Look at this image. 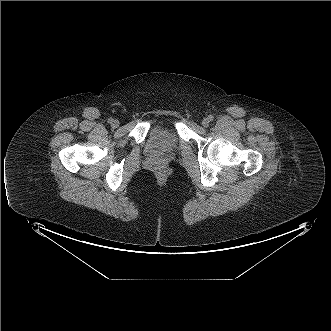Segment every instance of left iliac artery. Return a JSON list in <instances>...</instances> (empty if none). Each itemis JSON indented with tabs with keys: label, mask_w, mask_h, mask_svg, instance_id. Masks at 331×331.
Segmentation results:
<instances>
[{
	"label": "left iliac artery",
	"mask_w": 331,
	"mask_h": 331,
	"mask_svg": "<svg viewBox=\"0 0 331 331\" xmlns=\"http://www.w3.org/2000/svg\"><path fill=\"white\" fill-rule=\"evenodd\" d=\"M209 120L212 121L214 119L213 115H209Z\"/></svg>",
	"instance_id": "1"
}]
</instances>
